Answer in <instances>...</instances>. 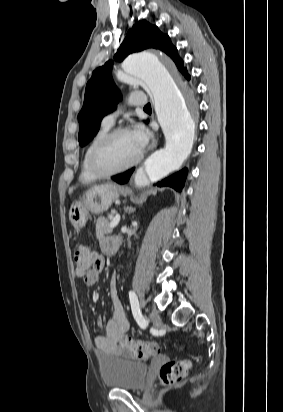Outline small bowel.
Segmentation results:
<instances>
[{"label":"small bowel","instance_id":"small-bowel-1","mask_svg":"<svg viewBox=\"0 0 283 412\" xmlns=\"http://www.w3.org/2000/svg\"><path fill=\"white\" fill-rule=\"evenodd\" d=\"M115 241H117L115 238H102L100 241L101 250L105 254L112 253L110 247ZM99 257L101 259L100 265L83 277L85 284L88 286H92L98 281L100 271L104 266L102 257ZM109 293L112 303V315L106 323L104 334L95 338V346L99 356L127 357V354L118 346L119 340L129 329V321L119 297L116 275H113L111 278ZM96 323L99 327L103 326V320L101 318H98Z\"/></svg>","mask_w":283,"mask_h":412}]
</instances>
